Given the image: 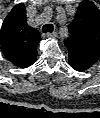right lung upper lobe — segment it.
<instances>
[{"mask_svg": "<svg viewBox=\"0 0 100 118\" xmlns=\"http://www.w3.org/2000/svg\"><path fill=\"white\" fill-rule=\"evenodd\" d=\"M39 32L26 22L23 3L13 7L3 21L0 42L4 55L16 66L26 68L36 60Z\"/></svg>", "mask_w": 100, "mask_h": 118, "instance_id": "1", "label": "right lung upper lobe"}]
</instances>
